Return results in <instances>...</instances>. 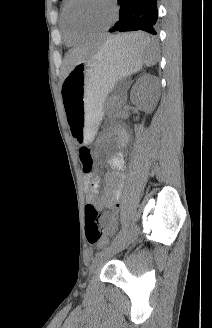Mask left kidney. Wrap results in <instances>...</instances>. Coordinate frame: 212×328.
I'll return each mask as SVG.
<instances>
[{
  "instance_id": "1",
  "label": "left kidney",
  "mask_w": 212,
  "mask_h": 328,
  "mask_svg": "<svg viewBox=\"0 0 212 328\" xmlns=\"http://www.w3.org/2000/svg\"><path fill=\"white\" fill-rule=\"evenodd\" d=\"M159 86L155 76L145 74L135 83L130 99L134 105L140 106L145 112L150 113L158 101Z\"/></svg>"
}]
</instances>
